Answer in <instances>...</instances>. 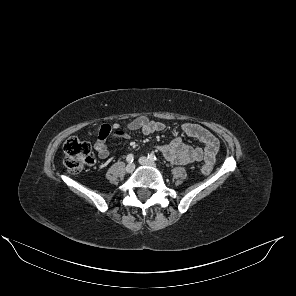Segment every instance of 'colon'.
Segmentation results:
<instances>
[{
    "instance_id": "5ec220e1",
    "label": "colon",
    "mask_w": 296,
    "mask_h": 296,
    "mask_svg": "<svg viewBox=\"0 0 296 296\" xmlns=\"http://www.w3.org/2000/svg\"><path fill=\"white\" fill-rule=\"evenodd\" d=\"M64 164L68 170L74 173L80 172L85 165L93 162L91 146L88 142L81 141L77 137H70L64 144ZM213 163L207 161L202 166L204 174H210Z\"/></svg>"
}]
</instances>
